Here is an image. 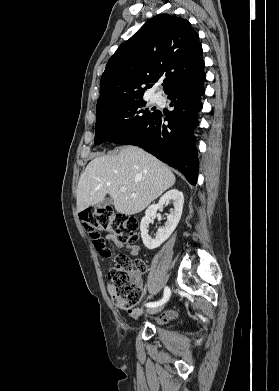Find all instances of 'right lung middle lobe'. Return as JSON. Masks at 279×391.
I'll return each mask as SVG.
<instances>
[{"label":"right lung middle lobe","instance_id":"right-lung-middle-lobe-1","mask_svg":"<svg viewBox=\"0 0 279 391\" xmlns=\"http://www.w3.org/2000/svg\"><path fill=\"white\" fill-rule=\"evenodd\" d=\"M157 111L146 108V102L134 101L96 114L94 144L114 142L128 130L153 117Z\"/></svg>","mask_w":279,"mask_h":391}]
</instances>
